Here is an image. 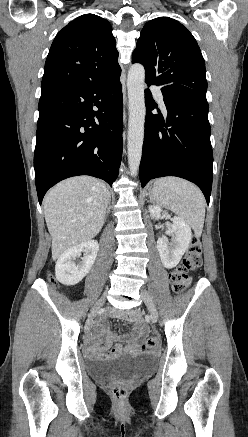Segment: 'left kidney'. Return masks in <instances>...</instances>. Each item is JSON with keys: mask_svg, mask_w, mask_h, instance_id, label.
I'll use <instances>...</instances> for the list:
<instances>
[{"mask_svg": "<svg viewBox=\"0 0 248 437\" xmlns=\"http://www.w3.org/2000/svg\"><path fill=\"white\" fill-rule=\"evenodd\" d=\"M162 209L160 206H149V213L151 218L160 219ZM173 224L166 232L167 235L172 236L169 243L165 236L158 238L157 250L160 255L163 266L167 269L175 267L181 260L185 251L188 249L191 242L192 232L190 227L179 217L173 218Z\"/></svg>", "mask_w": 248, "mask_h": 437, "instance_id": "5707ae66", "label": "left kidney"}]
</instances>
